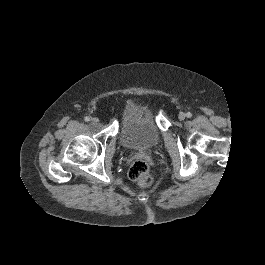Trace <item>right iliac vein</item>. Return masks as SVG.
<instances>
[{"label":"right iliac vein","instance_id":"right-iliac-vein-1","mask_svg":"<svg viewBox=\"0 0 265 265\" xmlns=\"http://www.w3.org/2000/svg\"><path fill=\"white\" fill-rule=\"evenodd\" d=\"M91 122H92V123H98V122H99V119L96 118V117H94V118L91 119Z\"/></svg>","mask_w":265,"mask_h":265}]
</instances>
